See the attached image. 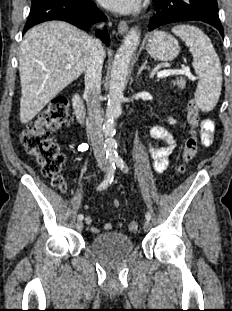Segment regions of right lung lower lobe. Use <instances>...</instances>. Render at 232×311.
<instances>
[{"label":"right lung lower lobe","mask_w":232,"mask_h":311,"mask_svg":"<svg viewBox=\"0 0 232 311\" xmlns=\"http://www.w3.org/2000/svg\"><path fill=\"white\" fill-rule=\"evenodd\" d=\"M105 19V15L91 0H33L23 33L49 20H63L87 30L95 22ZM96 36L109 45L110 38L106 30H97Z\"/></svg>","instance_id":"obj_1"}]
</instances>
